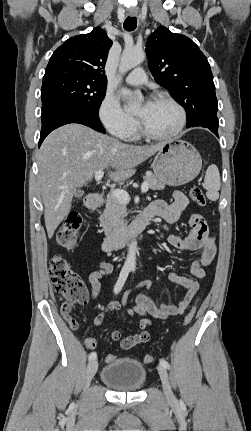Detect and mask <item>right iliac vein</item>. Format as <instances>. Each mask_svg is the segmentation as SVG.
Masks as SVG:
<instances>
[{"label":"right iliac vein","instance_id":"63e3f726","mask_svg":"<svg viewBox=\"0 0 251 431\" xmlns=\"http://www.w3.org/2000/svg\"><path fill=\"white\" fill-rule=\"evenodd\" d=\"M98 369V362L97 360H92L88 366H87V370H86V377H85V385L86 387H88L91 383V380L93 379V377L95 376L96 372Z\"/></svg>","mask_w":251,"mask_h":431}]
</instances>
